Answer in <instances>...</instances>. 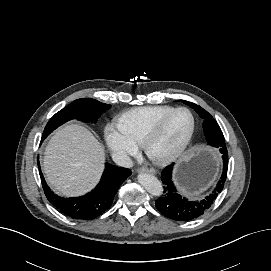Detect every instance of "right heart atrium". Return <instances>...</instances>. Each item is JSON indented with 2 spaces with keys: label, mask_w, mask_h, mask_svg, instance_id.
<instances>
[{
  "label": "right heart atrium",
  "mask_w": 271,
  "mask_h": 271,
  "mask_svg": "<svg viewBox=\"0 0 271 271\" xmlns=\"http://www.w3.org/2000/svg\"><path fill=\"white\" fill-rule=\"evenodd\" d=\"M105 141L110 151L122 161H128L138 152V146L129 139L119 126L107 125L105 128Z\"/></svg>",
  "instance_id": "d8ad5b80"
}]
</instances>
